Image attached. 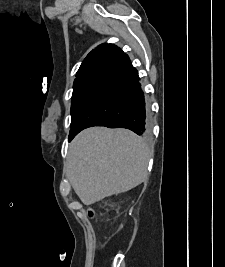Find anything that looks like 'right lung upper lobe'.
I'll use <instances>...</instances> for the list:
<instances>
[{"mask_svg": "<svg viewBox=\"0 0 225 267\" xmlns=\"http://www.w3.org/2000/svg\"><path fill=\"white\" fill-rule=\"evenodd\" d=\"M121 54H123V51L115 45H99L82 62L74 83L101 76Z\"/></svg>", "mask_w": 225, "mask_h": 267, "instance_id": "right-lung-upper-lobe-1", "label": "right lung upper lobe"}]
</instances>
